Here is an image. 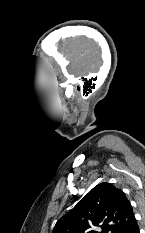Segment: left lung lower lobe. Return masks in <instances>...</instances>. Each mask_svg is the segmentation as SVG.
Instances as JSON below:
<instances>
[{"mask_svg":"<svg viewBox=\"0 0 145 233\" xmlns=\"http://www.w3.org/2000/svg\"><path fill=\"white\" fill-rule=\"evenodd\" d=\"M128 233H139V227H138L137 221L133 224L132 228L130 229Z\"/></svg>","mask_w":145,"mask_h":233,"instance_id":"obj_1","label":"left lung lower lobe"}]
</instances>
